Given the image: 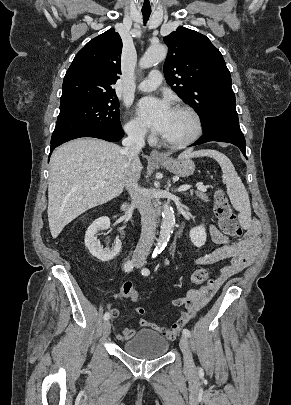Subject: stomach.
Masks as SVG:
<instances>
[{"label": "stomach", "mask_w": 291, "mask_h": 405, "mask_svg": "<svg viewBox=\"0 0 291 405\" xmlns=\"http://www.w3.org/2000/svg\"><path fill=\"white\" fill-rule=\"evenodd\" d=\"M157 162L171 173L181 177L191 176L195 170V164L189 158H165Z\"/></svg>", "instance_id": "0dacf381"}]
</instances>
